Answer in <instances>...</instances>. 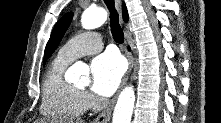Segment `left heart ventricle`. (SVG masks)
<instances>
[{
	"label": "left heart ventricle",
	"instance_id": "b2bd125f",
	"mask_svg": "<svg viewBox=\"0 0 221 123\" xmlns=\"http://www.w3.org/2000/svg\"><path fill=\"white\" fill-rule=\"evenodd\" d=\"M86 85H87V84L84 83V84H81L80 87H81V88H85Z\"/></svg>",
	"mask_w": 221,
	"mask_h": 123
}]
</instances>
